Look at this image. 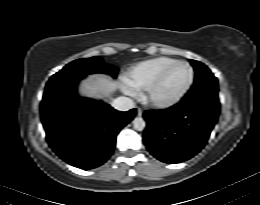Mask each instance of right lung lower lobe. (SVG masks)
<instances>
[{
    "label": "right lung lower lobe",
    "mask_w": 260,
    "mask_h": 205,
    "mask_svg": "<svg viewBox=\"0 0 260 205\" xmlns=\"http://www.w3.org/2000/svg\"><path fill=\"white\" fill-rule=\"evenodd\" d=\"M85 75L52 76L41 102V118L53 151L81 169L102 165L113 153L116 136L136 110L120 112L101 101L79 99L77 83Z\"/></svg>",
    "instance_id": "right-lung-lower-lobe-1"
}]
</instances>
